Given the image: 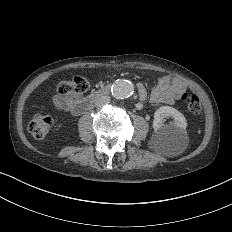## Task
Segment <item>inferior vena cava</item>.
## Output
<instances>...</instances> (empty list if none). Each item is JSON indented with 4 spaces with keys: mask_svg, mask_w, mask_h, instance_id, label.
I'll use <instances>...</instances> for the list:
<instances>
[{
    "mask_svg": "<svg viewBox=\"0 0 232 232\" xmlns=\"http://www.w3.org/2000/svg\"><path fill=\"white\" fill-rule=\"evenodd\" d=\"M109 101H110V98L108 96H100L97 99V105L98 106H104V105L108 104Z\"/></svg>",
    "mask_w": 232,
    "mask_h": 232,
    "instance_id": "inferior-vena-cava-1",
    "label": "inferior vena cava"
}]
</instances>
